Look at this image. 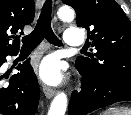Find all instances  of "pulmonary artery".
<instances>
[{"mask_svg": "<svg viewBox=\"0 0 131 115\" xmlns=\"http://www.w3.org/2000/svg\"><path fill=\"white\" fill-rule=\"evenodd\" d=\"M83 34L77 28H69L65 32L64 44L69 47H79L83 45Z\"/></svg>", "mask_w": 131, "mask_h": 115, "instance_id": "1", "label": "pulmonary artery"}]
</instances>
